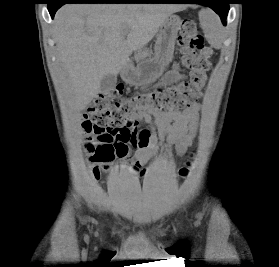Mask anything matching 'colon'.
<instances>
[{
	"mask_svg": "<svg viewBox=\"0 0 279 267\" xmlns=\"http://www.w3.org/2000/svg\"><path fill=\"white\" fill-rule=\"evenodd\" d=\"M179 46L182 66L191 75L189 80L126 97H122L124 87L117 85L101 93L87 108L82 127L85 131L86 152L95 178L98 179L115 158L124 157L131 145L146 141V131L137 133L132 128L133 116L149 111L181 110L199 97L206 82L212 50L205 45L202 34L191 19H184L180 24ZM190 169L189 162L180 169V176L186 177Z\"/></svg>",
	"mask_w": 279,
	"mask_h": 267,
	"instance_id": "5ec220e1",
	"label": "colon"
}]
</instances>
